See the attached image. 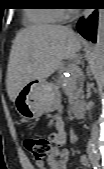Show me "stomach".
Returning <instances> with one entry per match:
<instances>
[{
	"mask_svg": "<svg viewBox=\"0 0 104 169\" xmlns=\"http://www.w3.org/2000/svg\"><path fill=\"white\" fill-rule=\"evenodd\" d=\"M60 103L56 86L45 79L28 82L14 100L17 113L24 119H36L55 111Z\"/></svg>",
	"mask_w": 104,
	"mask_h": 169,
	"instance_id": "0dacf381",
	"label": "stomach"
}]
</instances>
